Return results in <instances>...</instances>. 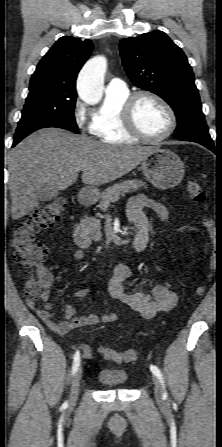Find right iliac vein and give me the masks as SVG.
Listing matches in <instances>:
<instances>
[{"mask_svg": "<svg viewBox=\"0 0 222 447\" xmlns=\"http://www.w3.org/2000/svg\"><path fill=\"white\" fill-rule=\"evenodd\" d=\"M81 377H82V368L79 367L77 369V371L73 377L72 383H71L70 398H69L70 407L75 406V404L77 402Z\"/></svg>", "mask_w": 222, "mask_h": 447, "instance_id": "obj_1", "label": "right iliac vein"}]
</instances>
